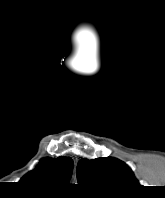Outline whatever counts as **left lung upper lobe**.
Instances as JSON below:
<instances>
[{
    "mask_svg": "<svg viewBox=\"0 0 165 198\" xmlns=\"http://www.w3.org/2000/svg\"><path fill=\"white\" fill-rule=\"evenodd\" d=\"M79 185L93 188L109 198L131 197L140 184L132 170L112 157L81 159L77 165Z\"/></svg>",
    "mask_w": 165,
    "mask_h": 198,
    "instance_id": "left-lung-upper-lobe-1",
    "label": "left lung upper lobe"
}]
</instances>
